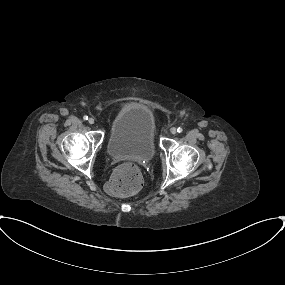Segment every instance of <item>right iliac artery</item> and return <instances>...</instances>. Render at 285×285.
<instances>
[{"instance_id":"82829eb1","label":"right iliac artery","mask_w":285,"mask_h":285,"mask_svg":"<svg viewBox=\"0 0 285 285\" xmlns=\"http://www.w3.org/2000/svg\"><path fill=\"white\" fill-rule=\"evenodd\" d=\"M83 119H84V120H88V116L85 115V116L83 117Z\"/></svg>"}]
</instances>
